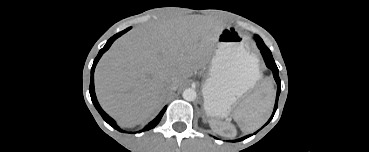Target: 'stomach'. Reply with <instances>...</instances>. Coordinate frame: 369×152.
Masks as SVG:
<instances>
[{
	"label": "stomach",
	"mask_w": 369,
	"mask_h": 152,
	"mask_svg": "<svg viewBox=\"0 0 369 152\" xmlns=\"http://www.w3.org/2000/svg\"><path fill=\"white\" fill-rule=\"evenodd\" d=\"M257 62L236 28L229 26L221 30L210 76L202 88L207 115L224 118L230 114L237 102L259 82Z\"/></svg>",
	"instance_id": "1"
}]
</instances>
